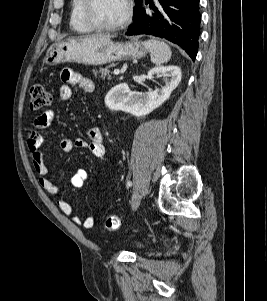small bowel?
Here are the masks:
<instances>
[{
  "label": "small bowel",
  "instance_id": "c3829d8e",
  "mask_svg": "<svg viewBox=\"0 0 267 301\" xmlns=\"http://www.w3.org/2000/svg\"><path fill=\"white\" fill-rule=\"evenodd\" d=\"M64 85L59 91V99L67 101L72 96L71 85L78 86L86 93H92L95 89L94 82L76 72L71 70H64L61 75ZM54 120V112L47 110L40 114L34 122L33 128L28 134V148L31 154V160L35 171L39 175V183L42 188L52 196H57L59 188L50 179L47 178L48 169L43 160L41 151L42 145L47 141L43 134V130L49 127ZM74 148H87L94 156L98 158H105L106 151L104 147V138L100 128L92 127L88 130V140L84 138H76L74 140L63 139L60 142V149L63 152L69 153ZM88 179V173L84 169H79L71 178V185L74 188H81ZM59 209L66 216H71L75 224L83 225L85 228H92L94 226V218L89 216L84 220L78 215H73V208L71 204L65 200H58Z\"/></svg>",
  "mask_w": 267,
  "mask_h": 301
}]
</instances>
